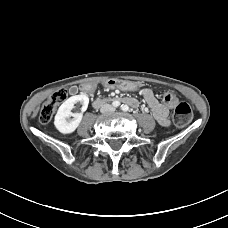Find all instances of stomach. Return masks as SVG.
I'll return each mask as SVG.
<instances>
[{"mask_svg": "<svg viewBox=\"0 0 228 228\" xmlns=\"http://www.w3.org/2000/svg\"><path fill=\"white\" fill-rule=\"evenodd\" d=\"M138 87H139L138 83H135V82L128 83V88L131 90H136V89H138Z\"/></svg>", "mask_w": 228, "mask_h": 228, "instance_id": "0dacf381", "label": "stomach"}]
</instances>
